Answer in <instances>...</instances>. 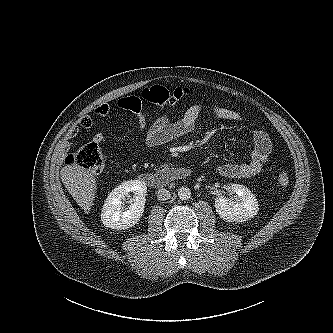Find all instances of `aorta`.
I'll return each mask as SVG.
<instances>
[{"label": "aorta", "mask_w": 333, "mask_h": 333, "mask_svg": "<svg viewBox=\"0 0 333 333\" xmlns=\"http://www.w3.org/2000/svg\"><path fill=\"white\" fill-rule=\"evenodd\" d=\"M178 197L181 200H188L191 197V190L187 187H181L178 190Z\"/></svg>", "instance_id": "1"}]
</instances>
